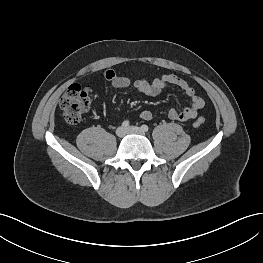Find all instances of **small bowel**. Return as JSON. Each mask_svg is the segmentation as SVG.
Instances as JSON below:
<instances>
[{"label": "small bowel", "instance_id": "c3829d8e", "mask_svg": "<svg viewBox=\"0 0 263 263\" xmlns=\"http://www.w3.org/2000/svg\"><path fill=\"white\" fill-rule=\"evenodd\" d=\"M109 86L114 89H123L132 86L138 93L148 96H158L166 86L174 85L179 87L190 99V104L183 110L171 109L168 111V118L173 121L185 122L197 116L203 107V100L196 95L195 90L187 81L172 74H164L153 81L140 78L132 81L128 77L119 76L113 70H106L103 74ZM143 120H151L153 114L149 110L140 113Z\"/></svg>", "mask_w": 263, "mask_h": 263}]
</instances>
